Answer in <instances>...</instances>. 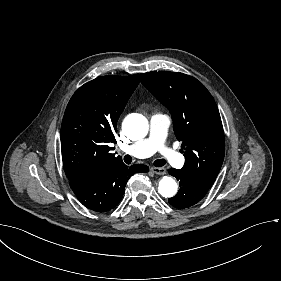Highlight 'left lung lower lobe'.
<instances>
[{"instance_id":"left-lung-lower-lobe-1","label":"left lung lower lobe","mask_w":281,"mask_h":281,"mask_svg":"<svg viewBox=\"0 0 281 281\" xmlns=\"http://www.w3.org/2000/svg\"><path fill=\"white\" fill-rule=\"evenodd\" d=\"M168 171L180 181L178 193L168 199L169 203L174 207L187 208L193 206L205 196L210 188L200 183L190 173L184 172L181 169L171 168Z\"/></svg>"}]
</instances>
